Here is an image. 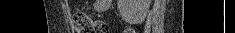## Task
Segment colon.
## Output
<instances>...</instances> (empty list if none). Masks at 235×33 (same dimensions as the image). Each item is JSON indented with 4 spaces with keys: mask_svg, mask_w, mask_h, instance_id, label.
<instances>
[{
    "mask_svg": "<svg viewBox=\"0 0 235 33\" xmlns=\"http://www.w3.org/2000/svg\"><path fill=\"white\" fill-rule=\"evenodd\" d=\"M73 24L77 33H108V27L104 22L84 13L74 14ZM132 32V30L127 31V33Z\"/></svg>",
    "mask_w": 235,
    "mask_h": 33,
    "instance_id": "obj_1",
    "label": "colon"
}]
</instances>
